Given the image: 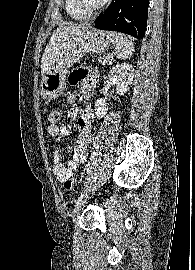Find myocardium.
<instances>
[{"label": "myocardium", "mask_w": 195, "mask_h": 270, "mask_svg": "<svg viewBox=\"0 0 195 270\" xmlns=\"http://www.w3.org/2000/svg\"><path fill=\"white\" fill-rule=\"evenodd\" d=\"M79 9L86 13L94 14L101 10L109 0H101L95 5H90L86 0H75Z\"/></svg>", "instance_id": "myocardium-1"}]
</instances>
